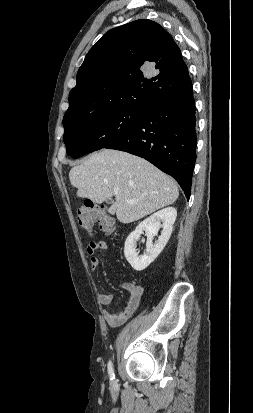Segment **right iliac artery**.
Wrapping results in <instances>:
<instances>
[{"label":"right iliac artery","mask_w":253,"mask_h":413,"mask_svg":"<svg viewBox=\"0 0 253 413\" xmlns=\"http://www.w3.org/2000/svg\"><path fill=\"white\" fill-rule=\"evenodd\" d=\"M108 373H109V376H110V380H114L115 375H114L113 365H112L111 361L108 362Z\"/></svg>","instance_id":"82829eb1"}]
</instances>
